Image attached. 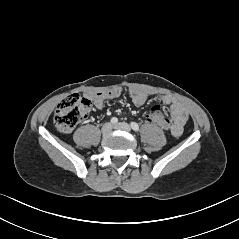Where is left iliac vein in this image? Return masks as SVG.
<instances>
[{
    "mask_svg": "<svg viewBox=\"0 0 239 239\" xmlns=\"http://www.w3.org/2000/svg\"><path fill=\"white\" fill-rule=\"evenodd\" d=\"M114 128L116 129H120V130H124L129 132L131 130V127L129 126V124L122 122V123H117Z\"/></svg>",
    "mask_w": 239,
    "mask_h": 239,
    "instance_id": "left-iliac-vein-1",
    "label": "left iliac vein"
}]
</instances>
